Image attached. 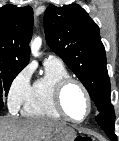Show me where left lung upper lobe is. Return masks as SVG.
<instances>
[{"mask_svg":"<svg viewBox=\"0 0 119 141\" xmlns=\"http://www.w3.org/2000/svg\"><path fill=\"white\" fill-rule=\"evenodd\" d=\"M44 30L49 47L88 90L99 112L110 102V80L99 27L77 4L47 7Z\"/></svg>","mask_w":119,"mask_h":141,"instance_id":"obj_1","label":"left lung upper lobe"}]
</instances>
